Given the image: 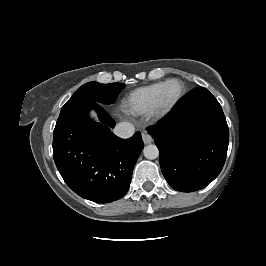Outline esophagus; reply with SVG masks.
<instances>
[{
    "mask_svg": "<svg viewBox=\"0 0 266 266\" xmlns=\"http://www.w3.org/2000/svg\"><path fill=\"white\" fill-rule=\"evenodd\" d=\"M142 139L145 144H149L153 141L152 137L147 132L142 133Z\"/></svg>",
    "mask_w": 266,
    "mask_h": 266,
    "instance_id": "obj_1",
    "label": "esophagus"
}]
</instances>
